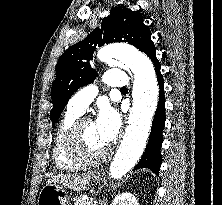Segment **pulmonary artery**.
<instances>
[{
  "label": "pulmonary artery",
  "instance_id": "e3ab8cb5",
  "mask_svg": "<svg viewBox=\"0 0 222 205\" xmlns=\"http://www.w3.org/2000/svg\"><path fill=\"white\" fill-rule=\"evenodd\" d=\"M105 82L108 86L121 89L128 85V79L123 71L110 69L106 72ZM98 93L95 85H88L77 91L68 103V109L82 114Z\"/></svg>",
  "mask_w": 222,
  "mask_h": 205
}]
</instances>
